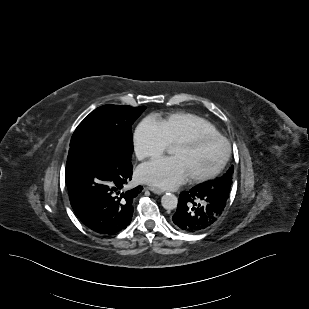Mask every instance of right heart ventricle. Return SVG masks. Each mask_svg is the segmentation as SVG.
I'll use <instances>...</instances> for the list:
<instances>
[{"mask_svg":"<svg viewBox=\"0 0 309 309\" xmlns=\"http://www.w3.org/2000/svg\"><path fill=\"white\" fill-rule=\"evenodd\" d=\"M161 128L168 144L199 131L218 133L216 127L205 118L193 113L178 112L154 120Z\"/></svg>","mask_w":309,"mask_h":309,"instance_id":"1","label":"right heart ventricle"}]
</instances>
